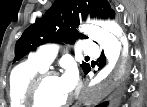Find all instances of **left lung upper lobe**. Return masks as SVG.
<instances>
[{"label": "left lung upper lobe", "instance_id": "left-lung-upper-lobe-1", "mask_svg": "<svg viewBox=\"0 0 147 107\" xmlns=\"http://www.w3.org/2000/svg\"><path fill=\"white\" fill-rule=\"evenodd\" d=\"M88 14L101 19L115 18V11L107 0H55L45 15L37 18L18 39L13 61H18L45 43L72 44L78 38H87L78 33L77 27L79 19H85ZM80 66L84 73L90 68L85 62Z\"/></svg>", "mask_w": 147, "mask_h": 107}]
</instances>
